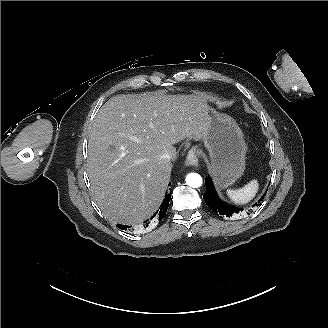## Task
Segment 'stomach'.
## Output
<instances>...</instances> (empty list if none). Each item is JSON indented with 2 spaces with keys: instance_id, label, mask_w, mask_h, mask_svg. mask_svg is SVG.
<instances>
[{
  "instance_id": "0dacf381",
  "label": "stomach",
  "mask_w": 328,
  "mask_h": 328,
  "mask_svg": "<svg viewBox=\"0 0 328 328\" xmlns=\"http://www.w3.org/2000/svg\"><path fill=\"white\" fill-rule=\"evenodd\" d=\"M202 142L209 155V171L219 188H227L244 173L247 144L238 123L208 106Z\"/></svg>"
}]
</instances>
